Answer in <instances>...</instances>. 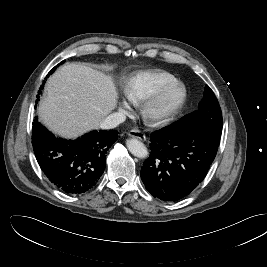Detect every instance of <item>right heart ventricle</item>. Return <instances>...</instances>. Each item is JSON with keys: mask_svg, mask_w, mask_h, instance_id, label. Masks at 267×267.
Listing matches in <instances>:
<instances>
[{"mask_svg": "<svg viewBox=\"0 0 267 267\" xmlns=\"http://www.w3.org/2000/svg\"><path fill=\"white\" fill-rule=\"evenodd\" d=\"M176 82V77L166 71H139L127 78L124 92L129 101L139 104Z\"/></svg>", "mask_w": 267, "mask_h": 267, "instance_id": "right-heart-ventricle-1", "label": "right heart ventricle"}]
</instances>
